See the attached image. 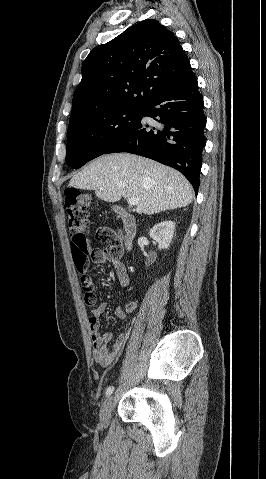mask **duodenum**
Masks as SVG:
<instances>
[{"instance_id": "duodenum-1", "label": "duodenum", "mask_w": 266, "mask_h": 479, "mask_svg": "<svg viewBox=\"0 0 266 479\" xmlns=\"http://www.w3.org/2000/svg\"><path fill=\"white\" fill-rule=\"evenodd\" d=\"M115 212L120 215L123 221L124 234L121 242L110 249V254L114 258H120L131 249L132 241L136 235V224L134 217L124 212L120 207H115Z\"/></svg>"}]
</instances>
